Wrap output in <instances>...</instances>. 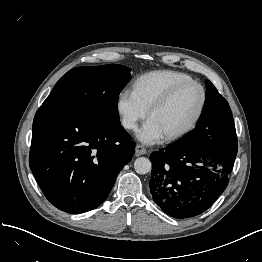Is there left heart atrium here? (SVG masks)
I'll return each mask as SVG.
<instances>
[{
    "label": "left heart atrium",
    "instance_id": "left-heart-atrium-1",
    "mask_svg": "<svg viewBox=\"0 0 262 262\" xmlns=\"http://www.w3.org/2000/svg\"><path fill=\"white\" fill-rule=\"evenodd\" d=\"M137 137L145 144H154L159 142L164 137V134L157 124L152 119H149L138 131Z\"/></svg>",
    "mask_w": 262,
    "mask_h": 262
}]
</instances>
